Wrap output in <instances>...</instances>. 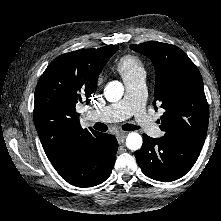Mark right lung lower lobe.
I'll list each match as a JSON object with an SVG mask.
<instances>
[{
	"label": "right lung lower lobe",
	"mask_w": 221,
	"mask_h": 221,
	"mask_svg": "<svg viewBox=\"0 0 221 221\" xmlns=\"http://www.w3.org/2000/svg\"><path fill=\"white\" fill-rule=\"evenodd\" d=\"M117 147L113 135L98 132L88 143L66 150L52 164L68 183L80 188L96 186L109 177Z\"/></svg>",
	"instance_id": "obj_1"
}]
</instances>
